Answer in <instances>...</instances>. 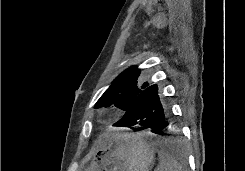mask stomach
I'll return each mask as SVG.
<instances>
[{
  "instance_id": "1",
  "label": "stomach",
  "mask_w": 245,
  "mask_h": 171,
  "mask_svg": "<svg viewBox=\"0 0 245 171\" xmlns=\"http://www.w3.org/2000/svg\"><path fill=\"white\" fill-rule=\"evenodd\" d=\"M154 160V147L144 135L115 132L102 138L84 171H149Z\"/></svg>"
}]
</instances>
